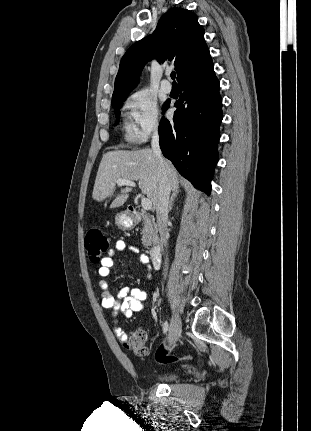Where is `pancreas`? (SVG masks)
I'll return each instance as SVG.
<instances>
[{"instance_id": "1", "label": "pancreas", "mask_w": 311, "mask_h": 431, "mask_svg": "<svg viewBox=\"0 0 311 431\" xmlns=\"http://www.w3.org/2000/svg\"><path fill=\"white\" fill-rule=\"evenodd\" d=\"M141 216L143 217V229H142V243L144 247L158 243V227L152 216H149L145 210H141Z\"/></svg>"}]
</instances>
